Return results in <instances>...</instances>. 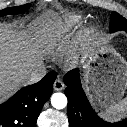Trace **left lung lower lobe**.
<instances>
[{"label":"left lung lower lobe","mask_w":127,"mask_h":127,"mask_svg":"<svg viewBox=\"0 0 127 127\" xmlns=\"http://www.w3.org/2000/svg\"><path fill=\"white\" fill-rule=\"evenodd\" d=\"M64 83L67 86L65 95L68 99L70 127H127V118L109 123L95 113L82 89L79 69L69 71L64 76Z\"/></svg>","instance_id":"left-lung-lower-lobe-1"}]
</instances>
